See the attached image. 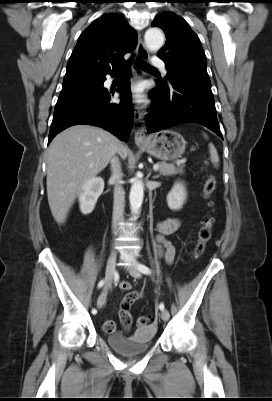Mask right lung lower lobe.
I'll list each match as a JSON object with an SVG mask.
<instances>
[{"label":"right lung lower lobe","instance_id":"obj_1","mask_svg":"<svg viewBox=\"0 0 272 401\" xmlns=\"http://www.w3.org/2000/svg\"><path fill=\"white\" fill-rule=\"evenodd\" d=\"M116 91L122 94L119 103H110L111 92L104 88L86 89L59 98L48 144L62 130L78 124L102 127L127 142L134 119L129 81H123Z\"/></svg>","mask_w":272,"mask_h":401}]
</instances>
